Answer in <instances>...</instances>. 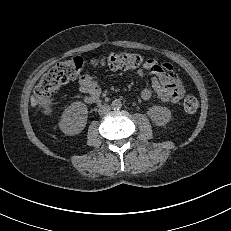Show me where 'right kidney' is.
<instances>
[{
	"instance_id": "right-kidney-1",
	"label": "right kidney",
	"mask_w": 231,
	"mask_h": 231,
	"mask_svg": "<svg viewBox=\"0 0 231 231\" xmlns=\"http://www.w3.org/2000/svg\"><path fill=\"white\" fill-rule=\"evenodd\" d=\"M87 118V106L82 102H74L63 112L59 127L66 135L79 134L84 129Z\"/></svg>"
}]
</instances>
